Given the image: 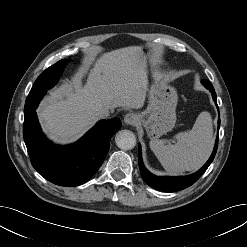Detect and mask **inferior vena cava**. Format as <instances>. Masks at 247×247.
<instances>
[{
	"mask_svg": "<svg viewBox=\"0 0 247 247\" xmlns=\"http://www.w3.org/2000/svg\"><path fill=\"white\" fill-rule=\"evenodd\" d=\"M96 115L100 119H105V118H108L110 116V111L108 109H100V110H98Z\"/></svg>",
	"mask_w": 247,
	"mask_h": 247,
	"instance_id": "1",
	"label": "inferior vena cava"
}]
</instances>
